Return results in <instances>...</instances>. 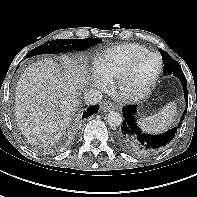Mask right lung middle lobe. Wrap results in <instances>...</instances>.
<instances>
[{"label": "right lung middle lobe", "mask_w": 197, "mask_h": 197, "mask_svg": "<svg viewBox=\"0 0 197 197\" xmlns=\"http://www.w3.org/2000/svg\"><path fill=\"white\" fill-rule=\"evenodd\" d=\"M100 42L101 40L98 38L52 40L32 49L26 57L47 53L57 54L68 51H81Z\"/></svg>", "instance_id": "dd1d6c3e"}]
</instances>
